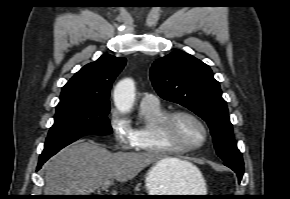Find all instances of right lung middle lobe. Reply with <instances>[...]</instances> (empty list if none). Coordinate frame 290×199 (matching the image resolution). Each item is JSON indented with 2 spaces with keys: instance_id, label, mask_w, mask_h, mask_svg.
<instances>
[{
  "instance_id": "dd1d6c3e",
  "label": "right lung middle lobe",
  "mask_w": 290,
  "mask_h": 199,
  "mask_svg": "<svg viewBox=\"0 0 290 199\" xmlns=\"http://www.w3.org/2000/svg\"><path fill=\"white\" fill-rule=\"evenodd\" d=\"M109 111V104L56 108L55 122L49 130L42 153L58 151L85 135L111 134L107 118Z\"/></svg>"
}]
</instances>
